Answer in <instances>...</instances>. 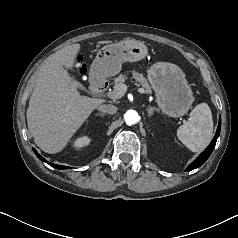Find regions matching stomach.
<instances>
[{
  "label": "stomach",
  "instance_id": "obj_1",
  "mask_svg": "<svg viewBox=\"0 0 238 238\" xmlns=\"http://www.w3.org/2000/svg\"><path fill=\"white\" fill-rule=\"evenodd\" d=\"M146 54V45L134 39L106 45L98 51L90 68V76L94 79L115 76L121 71L123 62L139 61ZM147 76L163 113L180 117L188 112L194 101L193 92L177 65L157 62L148 69Z\"/></svg>",
  "mask_w": 238,
  "mask_h": 238
}]
</instances>
